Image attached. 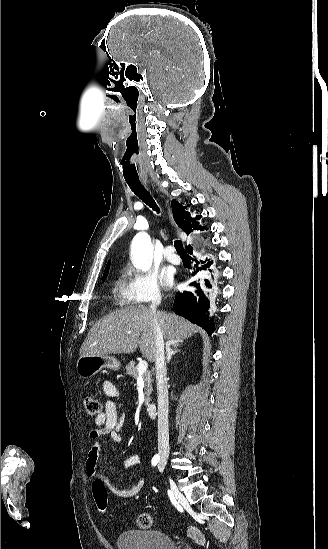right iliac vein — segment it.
Returning <instances> with one entry per match:
<instances>
[{
	"instance_id": "obj_1",
	"label": "right iliac vein",
	"mask_w": 328,
	"mask_h": 549,
	"mask_svg": "<svg viewBox=\"0 0 328 549\" xmlns=\"http://www.w3.org/2000/svg\"><path fill=\"white\" fill-rule=\"evenodd\" d=\"M161 465H162L163 467H165V463H164V462H162ZM168 479H169V482H170V488H171L172 493L174 494V496H175L176 498H180V493H179V491H178V489H177V487H176V484H175L174 481H173V478H172L171 476H168Z\"/></svg>"
}]
</instances>
